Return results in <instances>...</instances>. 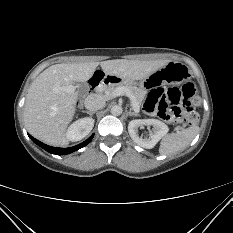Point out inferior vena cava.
Listing matches in <instances>:
<instances>
[{"instance_id":"1","label":"inferior vena cava","mask_w":233,"mask_h":233,"mask_svg":"<svg viewBox=\"0 0 233 233\" xmlns=\"http://www.w3.org/2000/svg\"><path fill=\"white\" fill-rule=\"evenodd\" d=\"M105 99L98 94H90L86 97L84 105L90 111H97L103 109L105 106Z\"/></svg>"}]
</instances>
